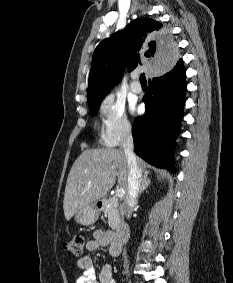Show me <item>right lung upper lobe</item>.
Returning <instances> with one entry per match:
<instances>
[{"label":"right lung upper lobe","instance_id":"cb5924a9","mask_svg":"<svg viewBox=\"0 0 233 283\" xmlns=\"http://www.w3.org/2000/svg\"><path fill=\"white\" fill-rule=\"evenodd\" d=\"M177 48L170 31L158 21L133 20L96 47L88 81V105L100 104L125 68L132 71L140 65L143 70L147 65V70H171L177 54H186V49Z\"/></svg>","mask_w":233,"mask_h":283}]
</instances>
